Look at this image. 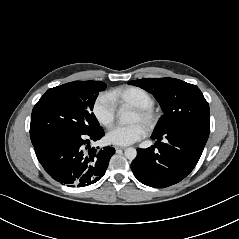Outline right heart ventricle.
Masks as SVG:
<instances>
[{"label":"right heart ventricle","mask_w":239,"mask_h":239,"mask_svg":"<svg viewBox=\"0 0 239 239\" xmlns=\"http://www.w3.org/2000/svg\"><path fill=\"white\" fill-rule=\"evenodd\" d=\"M110 97L114 103L128 105L134 108H152L154 105V99L147 91L134 86L112 91Z\"/></svg>","instance_id":"1"}]
</instances>
